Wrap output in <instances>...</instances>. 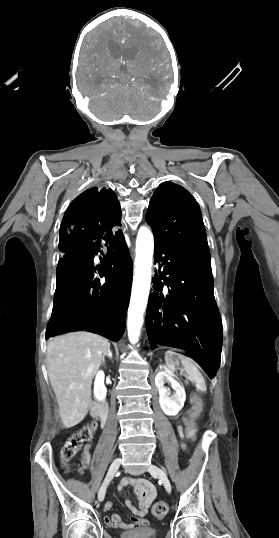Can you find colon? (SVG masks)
Listing matches in <instances>:
<instances>
[{"label": "colon", "instance_id": "obj_1", "mask_svg": "<svg viewBox=\"0 0 279 538\" xmlns=\"http://www.w3.org/2000/svg\"><path fill=\"white\" fill-rule=\"evenodd\" d=\"M192 408L190 410V417L186 423V434L188 438L192 440L197 439V429L194 425V419L200 414L202 410V401L200 397L194 396L192 399ZM97 426L95 423L88 424L75 432L65 443L61 451V457L64 462H69L77 454L80 448L90 442L93 438ZM168 512V505L165 501H158L152 507V513L154 517L161 519Z\"/></svg>", "mask_w": 279, "mask_h": 538}]
</instances>
